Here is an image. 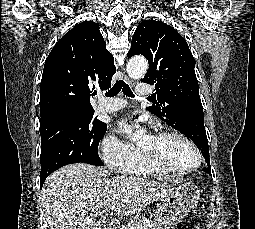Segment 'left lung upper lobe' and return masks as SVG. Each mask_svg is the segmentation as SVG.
Segmentation results:
<instances>
[{
  "label": "left lung upper lobe",
  "mask_w": 255,
  "mask_h": 229,
  "mask_svg": "<svg viewBox=\"0 0 255 229\" xmlns=\"http://www.w3.org/2000/svg\"><path fill=\"white\" fill-rule=\"evenodd\" d=\"M143 55L149 69L142 82L155 84V101L146 109L189 137L209 157L205 131L198 129L196 110H203L194 71L195 59L186 40L171 26L155 20L142 21L134 32L127 54Z\"/></svg>",
  "instance_id": "5c2ea615"
}]
</instances>
